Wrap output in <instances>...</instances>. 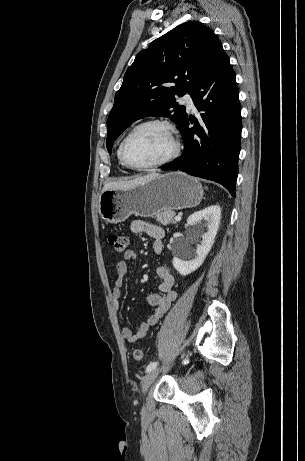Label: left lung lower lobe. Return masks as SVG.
Masks as SVG:
<instances>
[{"instance_id":"obj_1","label":"left lung lower lobe","mask_w":305,"mask_h":461,"mask_svg":"<svg viewBox=\"0 0 305 461\" xmlns=\"http://www.w3.org/2000/svg\"><path fill=\"white\" fill-rule=\"evenodd\" d=\"M190 95L202 113L198 118L186 115L179 126L183 153L160 168L213 180L235 196L241 111L235 73L223 49ZM190 123H194L192 128Z\"/></svg>"}]
</instances>
